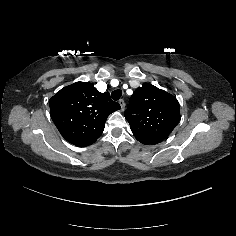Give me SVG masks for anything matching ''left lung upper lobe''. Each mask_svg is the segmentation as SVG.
<instances>
[{
    "mask_svg": "<svg viewBox=\"0 0 236 236\" xmlns=\"http://www.w3.org/2000/svg\"><path fill=\"white\" fill-rule=\"evenodd\" d=\"M124 116L138 141L156 144L167 138L179 123V103L166 91L144 83L131 96Z\"/></svg>",
    "mask_w": 236,
    "mask_h": 236,
    "instance_id": "obj_1",
    "label": "left lung upper lobe"
}]
</instances>
